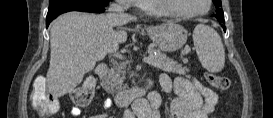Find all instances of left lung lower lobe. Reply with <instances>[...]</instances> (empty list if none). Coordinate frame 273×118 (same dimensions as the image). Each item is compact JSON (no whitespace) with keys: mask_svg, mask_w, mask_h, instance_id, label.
<instances>
[{"mask_svg":"<svg viewBox=\"0 0 273 118\" xmlns=\"http://www.w3.org/2000/svg\"><path fill=\"white\" fill-rule=\"evenodd\" d=\"M223 29H224V31H226V27L225 26H223Z\"/></svg>","mask_w":273,"mask_h":118,"instance_id":"1","label":"left lung lower lobe"}]
</instances>
